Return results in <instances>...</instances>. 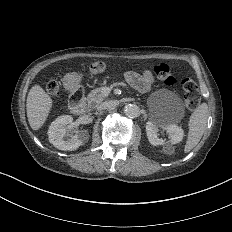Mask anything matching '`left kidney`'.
I'll list each match as a JSON object with an SVG mask.
<instances>
[{
  "mask_svg": "<svg viewBox=\"0 0 232 232\" xmlns=\"http://www.w3.org/2000/svg\"><path fill=\"white\" fill-rule=\"evenodd\" d=\"M164 131H166L168 135V138L165 140L158 136V133H163ZM146 132L148 141L154 146L175 144L179 142L183 136V131L179 126L156 121H148L146 123Z\"/></svg>",
  "mask_w": 232,
  "mask_h": 232,
  "instance_id": "5707ae66",
  "label": "left kidney"
}]
</instances>
